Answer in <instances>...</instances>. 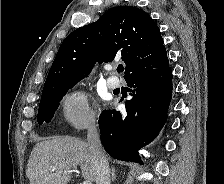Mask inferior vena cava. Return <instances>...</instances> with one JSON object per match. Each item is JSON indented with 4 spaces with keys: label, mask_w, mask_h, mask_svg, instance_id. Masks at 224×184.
I'll use <instances>...</instances> for the list:
<instances>
[{
    "label": "inferior vena cava",
    "mask_w": 224,
    "mask_h": 184,
    "mask_svg": "<svg viewBox=\"0 0 224 184\" xmlns=\"http://www.w3.org/2000/svg\"><path fill=\"white\" fill-rule=\"evenodd\" d=\"M87 141L95 159L96 184H110L109 164L94 121L88 126Z\"/></svg>",
    "instance_id": "1"
}]
</instances>
